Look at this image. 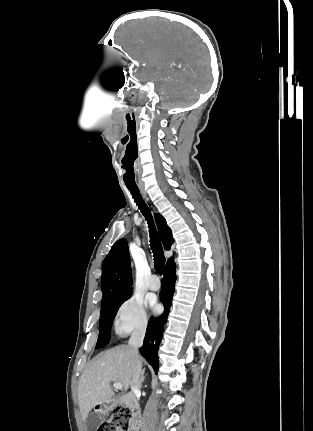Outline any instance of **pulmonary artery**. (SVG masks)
<instances>
[{
	"mask_svg": "<svg viewBox=\"0 0 313 431\" xmlns=\"http://www.w3.org/2000/svg\"><path fill=\"white\" fill-rule=\"evenodd\" d=\"M149 288L153 291H157L160 289V281L156 275H153L149 281Z\"/></svg>",
	"mask_w": 313,
	"mask_h": 431,
	"instance_id": "obj_1",
	"label": "pulmonary artery"
}]
</instances>
